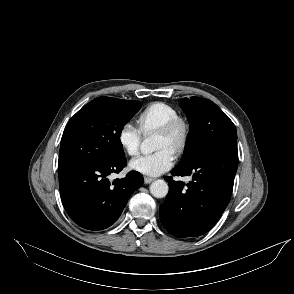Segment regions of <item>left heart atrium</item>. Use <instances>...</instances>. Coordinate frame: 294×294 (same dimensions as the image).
<instances>
[{"label": "left heart atrium", "instance_id": "obj_1", "mask_svg": "<svg viewBox=\"0 0 294 294\" xmlns=\"http://www.w3.org/2000/svg\"><path fill=\"white\" fill-rule=\"evenodd\" d=\"M174 161V152L165 148L133 159L130 162V168L144 175L158 176L168 171L173 166Z\"/></svg>", "mask_w": 294, "mask_h": 294}]
</instances>
